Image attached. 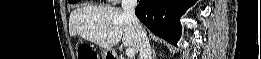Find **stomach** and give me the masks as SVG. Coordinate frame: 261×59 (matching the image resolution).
I'll use <instances>...</instances> for the list:
<instances>
[{"label":"stomach","instance_id":"1","mask_svg":"<svg viewBox=\"0 0 261 59\" xmlns=\"http://www.w3.org/2000/svg\"><path fill=\"white\" fill-rule=\"evenodd\" d=\"M102 59H109L113 58L112 54L110 51L106 50L101 54Z\"/></svg>","mask_w":261,"mask_h":59}]
</instances>
